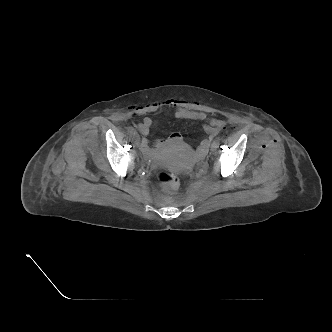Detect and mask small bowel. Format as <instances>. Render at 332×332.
I'll return each instance as SVG.
<instances>
[{"instance_id": "obj_1", "label": "small bowel", "mask_w": 332, "mask_h": 332, "mask_svg": "<svg viewBox=\"0 0 332 332\" xmlns=\"http://www.w3.org/2000/svg\"><path fill=\"white\" fill-rule=\"evenodd\" d=\"M162 107L174 108L173 115L176 119L202 123L203 129L208 137L199 145L198 151L200 154H204L207 151L211 141L226 125V120L209 118L205 112L191 110L187 107L186 102L179 99H168L160 103H152L146 109L148 111H156ZM153 125H155V121L150 117H145L138 125L140 133L144 136L141 141V147L145 152H149V142L146 136L149 134L150 128ZM181 139V136L175 133L172 134L167 141H159L158 146H163L167 142H180Z\"/></svg>"}]
</instances>
